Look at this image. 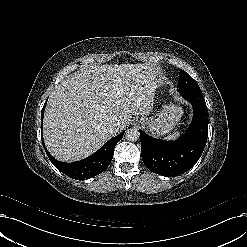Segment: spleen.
Here are the masks:
<instances>
[{"label":"spleen","mask_w":247,"mask_h":247,"mask_svg":"<svg viewBox=\"0 0 247 247\" xmlns=\"http://www.w3.org/2000/svg\"><path fill=\"white\" fill-rule=\"evenodd\" d=\"M180 136V132H174L173 134L166 137L167 140H176Z\"/></svg>","instance_id":"obj_1"}]
</instances>
